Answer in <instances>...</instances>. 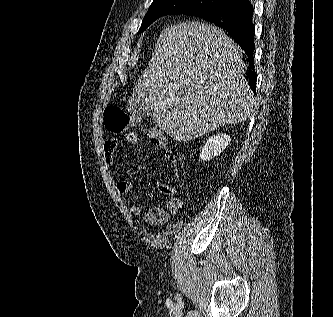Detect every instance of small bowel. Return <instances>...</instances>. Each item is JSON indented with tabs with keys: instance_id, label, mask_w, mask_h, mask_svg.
Returning a JSON list of instances; mask_svg holds the SVG:
<instances>
[{
	"instance_id": "c3829d8e",
	"label": "small bowel",
	"mask_w": 333,
	"mask_h": 317,
	"mask_svg": "<svg viewBox=\"0 0 333 317\" xmlns=\"http://www.w3.org/2000/svg\"><path fill=\"white\" fill-rule=\"evenodd\" d=\"M124 139L131 145L138 147L139 137L134 132H129L124 135ZM119 144L118 138H110L104 143V161L108 167L114 163V153ZM176 177H179L176 172ZM117 191L122 196H129L133 193V184L127 179H121L117 182ZM160 193L170 198L166 201L165 207L155 206L148 209L144 213V220L147 224L152 226L163 225L167 222L169 214L177 213L181 208V200L174 196L176 189L174 186L160 182L158 185ZM133 213L135 215H142V209L139 206H133Z\"/></svg>"
}]
</instances>
